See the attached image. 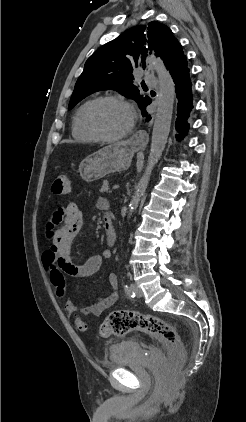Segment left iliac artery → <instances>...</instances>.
Returning <instances> with one entry per match:
<instances>
[{"label":"left iliac artery","instance_id":"1","mask_svg":"<svg viewBox=\"0 0 246 422\" xmlns=\"http://www.w3.org/2000/svg\"><path fill=\"white\" fill-rule=\"evenodd\" d=\"M124 291H125L127 296H129L131 298L135 297V293H134L133 289L128 284H124Z\"/></svg>","mask_w":246,"mask_h":422}]
</instances>
